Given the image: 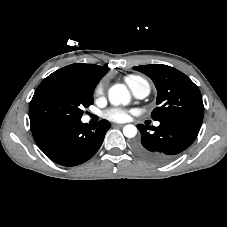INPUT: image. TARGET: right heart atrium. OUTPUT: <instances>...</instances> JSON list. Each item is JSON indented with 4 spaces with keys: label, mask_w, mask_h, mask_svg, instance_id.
Listing matches in <instances>:
<instances>
[{
    "label": "right heart atrium",
    "mask_w": 227,
    "mask_h": 227,
    "mask_svg": "<svg viewBox=\"0 0 227 227\" xmlns=\"http://www.w3.org/2000/svg\"><path fill=\"white\" fill-rule=\"evenodd\" d=\"M105 83L104 81H101L94 89V95L95 96H101L104 92Z\"/></svg>",
    "instance_id": "right-heart-atrium-1"
}]
</instances>
